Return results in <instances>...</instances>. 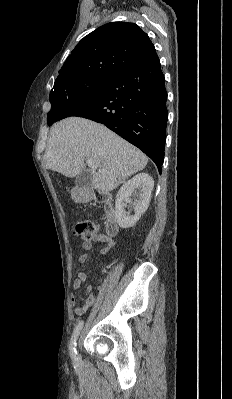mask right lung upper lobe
I'll return each instance as SVG.
<instances>
[{
  "label": "right lung upper lobe",
  "instance_id": "obj_1",
  "mask_svg": "<svg viewBox=\"0 0 232 399\" xmlns=\"http://www.w3.org/2000/svg\"><path fill=\"white\" fill-rule=\"evenodd\" d=\"M155 47L136 24L112 22L85 36L59 70L50 95L86 78H110L146 60Z\"/></svg>",
  "mask_w": 232,
  "mask_h": 399
}]
</instances>
